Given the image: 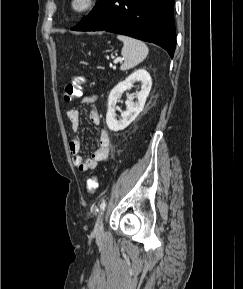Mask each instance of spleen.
Instances as JSON below:
<instances>
[{
  "mask_svg": "<svg viewBox=\"0 0 243 289\" xmlns=\"http://www.w3.org/2000/svg\"><path fill=\"white\" fill-rule=\"evenodd\" d=\"M117 38L123 42L121 55L124 58V63L120 70L132 69L147 57L149 50L144 42L124 35H118Z\"/></svg>",
  "mask_w": 243,
  "mask_h": 289,
  "instance_id": "1",
  "label": "spleen"
}]
</instances>
